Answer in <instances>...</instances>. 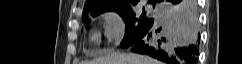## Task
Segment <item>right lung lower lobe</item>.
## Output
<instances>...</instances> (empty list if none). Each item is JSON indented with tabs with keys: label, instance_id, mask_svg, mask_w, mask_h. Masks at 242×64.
<instances>
[{
	"label": "right lung lower lobe",
	"instance_id": "right-lung-lower-lobe-1",
	"mask_svg": "<svg viewBox=\"0 0 242 64\" xmlns=\"http://www.w3.org/2000/svg\"><path fill=\"white\" fill-rule=\"evenodd\" d=\"M157 16L129 45L166 64H197L199 22L195 0H157Z\"/></svg>",
	"mask_w": 242,
	"mask_h": 64
}]
</instances>
